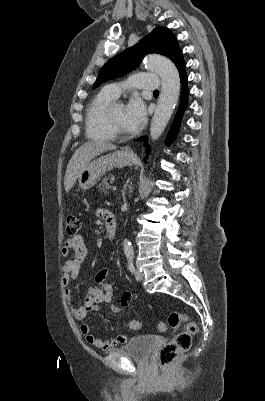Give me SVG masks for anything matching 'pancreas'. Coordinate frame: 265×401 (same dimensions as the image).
Instances as JSON below:
<instances>
[{
  "label": "pancreas",
  "mask_w": 265,
  "mask_h": 401,
  "mask_svg": "<svg viewBox=\"0 0 265 401\" xmlns=\"http://www.w3.org/2000/svg\"><path fill=\"white\" fill-rule=\"evenodd\" d=\"M113 178H115L114 174H109L106 178H103L102 182H100L98 188L99 190H105V188H110L111 182H113ZM109 180V182H108Z\"/></svg>",
  "instance_id": "1"
}]
</instances>
